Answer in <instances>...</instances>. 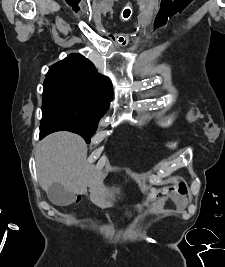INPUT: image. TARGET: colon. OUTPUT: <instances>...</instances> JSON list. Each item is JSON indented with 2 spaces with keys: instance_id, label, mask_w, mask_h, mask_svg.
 Wrapping results in <instances>:
<instances>
[{
  "instance_id": "obj_1",
  "label": "colon",
  "mask_w": 225,
  "mask_h": 267,
  "mask_svg": "<svg viewBox=\"0 0 225 267\" xmlns=\"http://www.w3.org/2000/svg\"><path fill=\"white\" fill-rule=\"evenodd\" d=\"M125 10H126L127 15L131 13L130 8L127 7ZM184 189H185V185L182 182L177 183L173 185L172 187H168V186L161 187V188L153 187L149 190L147 201L139 204L135 210H127L125 212V215L131 216L134 212H141L148 206L149 203L155 201L158 197L162 195H166L169 192L182 193Z\"/></svg>"
}]
</instances>
